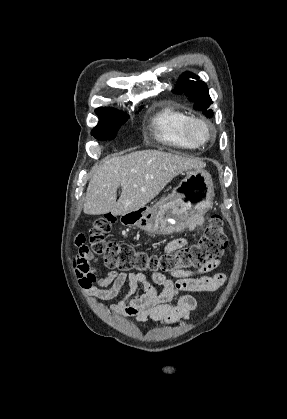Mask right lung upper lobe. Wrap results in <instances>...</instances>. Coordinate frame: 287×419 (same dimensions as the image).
<instances>
[{
	"label": "right lung upper lobe",
	"mask_w": 287,
	"mask_h": 419,
	"mask_svg": "<svg viewBox=\"0 0 287 419\" xmlns=\"http://www.w3.org/2000/svg\"><path fill=\"white\" fill-rule=\"evenodd\" d=\"M116 111H117V110L112 109V108H103V107L97 108V109L95 110V112H96L97 114H103V113H108V112H116Z\"/></svg>",
	"instance_id": "1"
}]
</instances>
